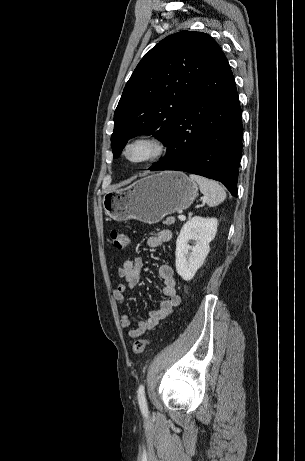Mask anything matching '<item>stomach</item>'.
I'll use <instances>...</instances> for the list:
<instances>
[{
  "instance_id": "1",
  "label": "stomach",
  "mask_w": 305,
  "mask_h": 461,
  "mask_svg": "<svg viewBox=\"0 0 305 461\" xmlns=\"http://www.w3.org/2000/svg\"><path fill=\"white\" fill-rule=\"evenodd\" d=\"M197 195L196 183L184 173L163 171L106 193L102 204L105 213L116 221L136 219L152 224L187 209Z\"/></svg>"
}]
</instances>
